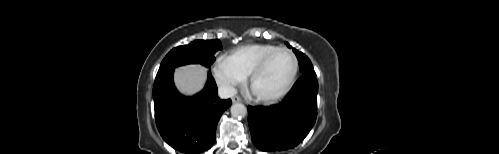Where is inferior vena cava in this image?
Instances as JSON below:
<instances>
[{"label": "inferior vena cava", "instance_id": "602c4592", "mask_svg": "<svg viewBox=\"0 0 499 154\" xmlns=\"http://www.w3.org/2000/svg\"><path fill=\"white\" fill-rule=\"evenodd\" d=\"M237 90L230 85H223L218 88V95L221 99L231 98L236 95Z\"/></svg>", "mask_w": 499, "mask_h": 154}]
</instances>
